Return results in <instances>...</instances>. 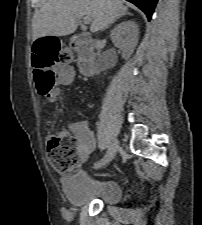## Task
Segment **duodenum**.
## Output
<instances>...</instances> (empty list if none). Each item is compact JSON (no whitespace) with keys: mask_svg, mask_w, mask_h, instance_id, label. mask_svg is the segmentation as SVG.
Returning a JSON list of instances; mask_svg holds the SVG:
<instances>
[{"mask_svg":"<svg viewBox=\"0 0 202 225\" xmlns=\"http://www.w3.org/2000/svg\"><path fill=\"white\" fill-rule=\"evenodd\" d=\"M73 45L78 56V68L84 76H92L96 72V52L94 43L83 37H75Z\"/></svg>","mask_w":202,"mask_h":225,"instance_id":"1","label":"duodenum"}]
</instances>
